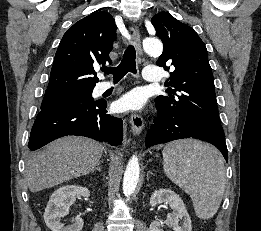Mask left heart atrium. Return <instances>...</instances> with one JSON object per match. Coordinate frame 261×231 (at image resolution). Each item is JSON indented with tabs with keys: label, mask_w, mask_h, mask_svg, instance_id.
I'll return each mask as SVG.
<instances>
[{
	"label": "left heart atrium",
	"mask_w": 261,
	"mask_h": 231,
	"mask_svg": "<svg viewBox=\"0 0 261 231\" xmlns=\"http://www.w3.org/2000/svg\"><path fill=\"white\" fill-rule=\"evenodd\" d=\"M146 103V95L140 89H134L122 96L116 103L120 111L140 110Z\"/></svg>",
	"instance_id": "left-heart-atrium-1"
}]
</instances>
